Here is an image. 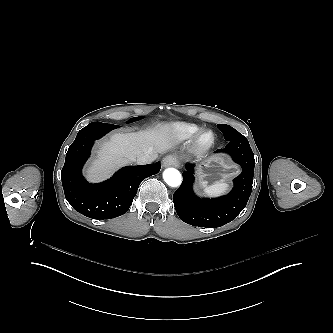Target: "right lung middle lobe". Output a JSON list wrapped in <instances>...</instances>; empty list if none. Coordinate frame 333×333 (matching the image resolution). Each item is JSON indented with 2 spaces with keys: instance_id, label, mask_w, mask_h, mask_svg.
<instances>
[{
  "instance_id": "right-lung-middle-lobe-1",
  "label": "right lung middle lobe",
  "mask_w": 333,
  "mask_h": 333,
  "mask_svg": "<svg viewBox=\"0 0 333 333\" xmlns=\"http://www.w3.org/2000/svg\"><path fill=\"white\" fill-rule=\"evenodd\" d=\"M143 117H134V118H130L127 123H131V122H134V121H138L140 119H142Z\"/></svg>"
}]
</instances>
